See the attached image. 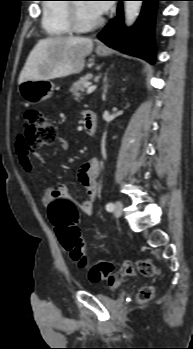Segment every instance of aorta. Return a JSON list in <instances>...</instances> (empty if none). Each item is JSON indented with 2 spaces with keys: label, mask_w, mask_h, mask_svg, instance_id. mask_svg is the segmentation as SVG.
Wrapping results in <instances>:
<instances>
[{
  "label": "aorta",
  "mask_w": 193,
  "mask_h": 349,
  "mask_svg": "<svg viewBox=\"0 0 193 349\" xmlns=\"http://www.w3.org/2000/svg\"><path fill=\"white\" fill-rule=\"evenodd\" d=\"M142 6V1H125V24L129 27L131 26Z\"/></svg>",
  "instance_id": "obj_1"
}]
</instances>
